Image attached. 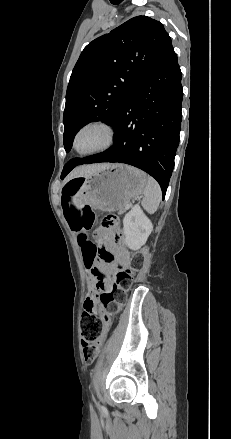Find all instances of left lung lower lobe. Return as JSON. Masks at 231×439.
<instances>
[{
    "mask_svg": "<svg viewBox=\"0 0 231 439\" xmlns=\"http://www.w3.org/2000/svg\"><path fill=\"white\" fill-rule=\"evenodd\" d=\"M173 47L131 90L112 126L115 144L103 153L74 158L70 172L80 164L120 162L135 166L161 186L165 197L179 145L183 90Z\"/></svg>",
    "mask_w": 231,
    "mask_h": 439,
    "instance_id": "0a47b994",
    "label": "left lung lower lobe"
}]
</instances>
